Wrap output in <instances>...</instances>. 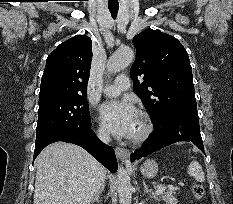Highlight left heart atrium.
<instances>
[{"instance_id": "obj_1", "label": "left heart atrium", "mask_w": 233, "mask_h": 204, "mask_svg": "<svg viewBox=\"0 0 233 204\" xmlns=\"http://www.w3.org/2000/svg\"><path fill=\"white\" fill-rule=\"evenodd\" d=\"M103 126L118 137H132L137 111L130 101L112 100L99 109Z\"/></svg>"}]
</instances>
